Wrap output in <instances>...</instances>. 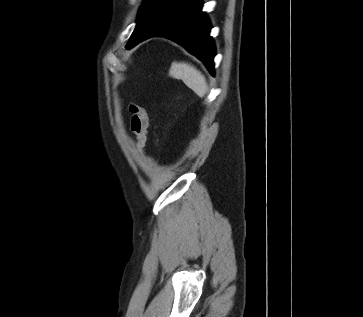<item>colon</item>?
<instances>
[{
  "instance_id": "1",
  "label": "colon",
  "mask_w": 363,
  "mask_h": 317,
  "mask_svg": "<svg viewBox=\"0 0 363 317\" xmlns=\"http://www.w3.org/2000/svg\"><path fill=\"white\" fill-rule=\"evenodd\" d=\"M129 111L131 114V131L135 136L138 149L142 150L147 137V113L142 106L136 103L130 104Z\"/></svg>"
}]
</instances>
